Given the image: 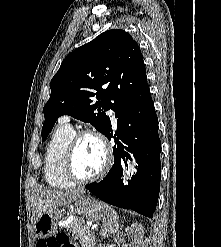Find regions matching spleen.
<instances>
[{
    "instance_id": "spleen-1",
    "label": "spleen",
    "mask_w": 221,
    "mask_h": 247,
    "mask_svg": "<svg viewBox=\"0 0 221 247\" xmlns=\"http://www.w3.org/2000/svg\"><path fill=\"white\" fill-rule=\"evenodd\" d=\"M119 228V222H118V215L115 212V210H113L110 207H107V219L104 222L100 233L103 236H108L110 234H114L118 231Z\"/></svg>"
}]
</instances>
